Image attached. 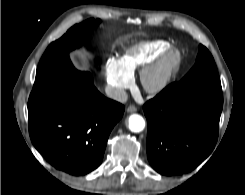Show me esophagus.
<instances>
[{"label":"esophagus","mask_w":245,"mask_h":195,"mask_svg":"<svg viewBox=\"0 0 245 195\" xmlns=\"http://www.w3.org/2000/svg\"><path fill=\"white\" fill-rule=\"evenodd\" d=\"M126 111L128 113H133V112L137 111V108L134 105H130V106L127 107Z\"/></svg>","instance_id":"1"}]
</instances>
